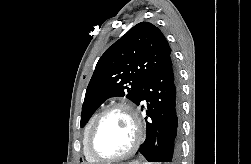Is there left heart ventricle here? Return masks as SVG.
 <instances>
[{"mask_svg": "<svg viewBox=\"0 0 251 164\" xmlns=\"http://www.w3.org/2000/svg\"><path fill=\"white\" fill-rule=\"evenodd\" d=\"M135 130L128 113L111 111L102 120L93 140V151L101 157H113L126 152L133 143Z\"/></svg>", "mask_w": 251, "mask_h": 164, "instance_id": "left-heart-ventricle-1", "label": "left heart ventricle"}]
</instances>
